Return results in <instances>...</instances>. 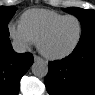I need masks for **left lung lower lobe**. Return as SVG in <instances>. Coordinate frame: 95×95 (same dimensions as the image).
<instances>
[{
  "mask_svg": "<svg viewBox=\"0 0 95 95\" xmlns=\"http://www.w3.org/2000/svg\"><path fill=\"white\" fill-rule=\"evenodd\" d=\"M45 85L50 95H95V37L80 41L63 60L49 63Z\"/></svg>",
  "mask_w": 95,
  "mask_h": 95,
  "instance_id": "left-lung-lower-lobe-1",
  "label": "left lung lower lobe"
}]
</instances>
